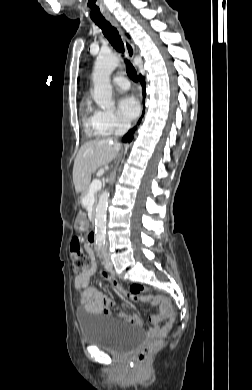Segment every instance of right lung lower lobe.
I'll return each instance as SVG.
<instances>
[{"label": "right lung lower lobe", "mask_w": 252, "mask_h": 390, "mask_svg": "<svg viewBox=\"0 0 252 390\" xmlns=\"http://www.w3.org/2000/svg\"><path fill=\"white\" fill-rule=\"evenodd\" d=\"M139 81H140V83H141V85H142V88H143V97L145 98V96H146V92H145V79H144V77H142L141 75L139 76ZM143 114H144V110H143ZM142 114V115H143ZM141 120V119H140ZM140 120H139V122H140ZM138 122V123H139ZM135 130H136V127H134L132 130H130L124 137H123V141L124 142H130L132 139H133V136H132V134L135 132Z\"/></svg>", "instance_id": "98d812e1"}]
</instances>
